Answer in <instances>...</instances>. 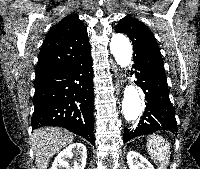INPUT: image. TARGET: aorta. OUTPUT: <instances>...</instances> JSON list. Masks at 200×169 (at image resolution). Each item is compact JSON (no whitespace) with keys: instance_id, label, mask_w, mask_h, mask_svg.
I'll use <instances>...</instances> for the list:
<instances>
[{"instance_id":"762f6f07","label":"aorta","mask_w":200,"mask_h":169,"mask_svg":"<svg viewBox=\"0 0 200 169\" xmlns=\"http://www.w3.org/2000/svg\"><path fill=\"white\" fill-rule=\"evenodd\" d=\"M110 49L118 65L122 68L129 66L132 59V45L126 36L123 34L113 35ZM122 110L127 121H134L140 115L141 100L138 90L133 85H127L124 90Z\"/></svg>"}]
</instances>
